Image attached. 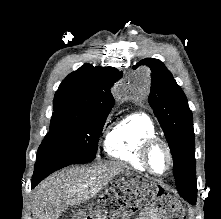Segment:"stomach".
<instances>
[{
    "label": "stomach",
    "mask_w": 221,
    "mask_h": 219,
    "mask_svg": "<svg viewBox=\"0 0 221 219\" xmlns=\"http://www.w3.org/2000/svg\"><path fill=\"white\" fill-rule=\"evenodd\" d=\"M155 190L149 194V199H169L170 190H162L157 184H153Z\"/></svg>",
    "instance_id": "1"
}]
</instances>
